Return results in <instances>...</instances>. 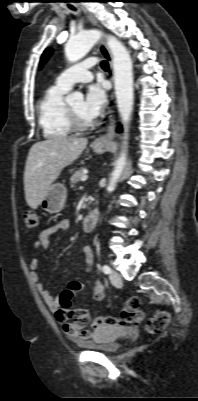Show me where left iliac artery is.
Wrapping results in <instances>:
<instances>
[{"label": "left iliac artery", "mask_w": 198, "mask_h": 401, "mask_svg": "<svg viewBox=\"0 0 198 401\" xmlns=\"http://www.w3.org/2000/svg\"><path fill=\"white\" fill-rule=\"evenodd\" d=\"M102 270H103V272H104L105 274L111 273V269H110V267H109L108 265H104V266L102 267Z\"/></svg>", "instance_id": "obj_1"}]
</instances>
